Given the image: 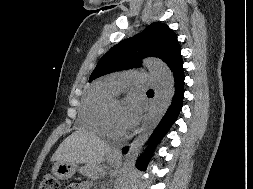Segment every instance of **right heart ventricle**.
Masks as SVG:
<instances>
[{
    "mask_svg": "<svg viewBox=\"0 0 253 189\" xmlns=\"http://www.w3.org/2000/svg\"><path fill=\"white\" fill-rule=\"evenodd\" d=\"M114 92L107 82L95 84L82 103L80 109V123L86 129L98 134H104L103 114L106 104L113 97Z\"/></svg>",
    "mask_w": 253,
    "mask_h": 189,
    "instance_id": "1",
    "label": "right heart ventricle"
}]
</instances>
